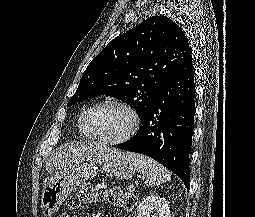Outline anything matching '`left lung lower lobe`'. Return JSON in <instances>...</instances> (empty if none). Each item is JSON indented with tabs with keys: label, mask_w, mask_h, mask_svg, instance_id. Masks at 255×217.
<instances>
[{
	"label": "left lung lower lobe",
	"mask_w": 255,
	"mask_h": 217,
	"mask_svg": "<svg viewBox=\"0 0 255 217\" xmlns=\"http://www.w3.org/2000/svg\"><path fill=\"white\" fill-rule=\"evenodd\" d=\"M194 75L190 52L159 87L138 133L118 146L153 158L176 174L187 189L195 115Z\"/></svg>",
	"instance_id": "1"
}]
</instances>
